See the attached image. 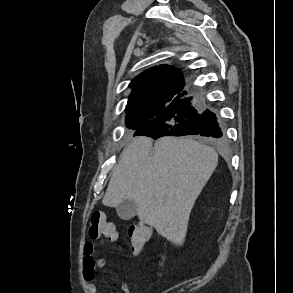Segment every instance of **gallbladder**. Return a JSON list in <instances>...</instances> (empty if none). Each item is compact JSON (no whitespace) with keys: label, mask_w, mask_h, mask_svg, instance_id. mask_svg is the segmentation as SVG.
I'll return each mask as SVG.
<instances>
[{"label":"gallbladder","mask_w":293,"mask_h":293,"mask_svg":"<svg viewBox=\"0 0 293 293\" xmlns=\"http://www.w3.org/2000/svg\"><path fill=\"white\" fill-rule=\"evenodd\" d=\"M116 212L122 220H130L137 213V205L132 200H123L117 207Z\"/></svg>","instance_id":"obj_1"}]
</instances>
